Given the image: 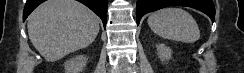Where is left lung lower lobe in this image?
Returning <instances> with one entry per match:
<instances>
[{"label": "left lung lower lobe", "mask_w": 244, "mask_h": 73, "mask_svg": "<svg viewBox=\"0 0 244 73\" xmlns=\"http://www.w3.org/2000/svg\"><path fill=\"white\" fill-rule=\"evenodd\" d=\"M188 6L207 14L212 21L215 17V8L212 0H137V25L143 15L167 6Z\"/></svg>", "instance_id": "left-lung-lower-lobe-1"}]
</instances>
